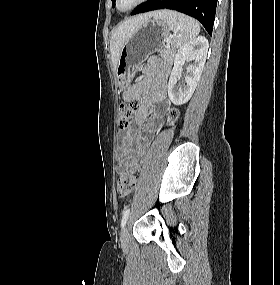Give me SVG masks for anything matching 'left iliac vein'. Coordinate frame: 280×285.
<instances>
[{"label": "left iliac vein", "mask_w": 280, "mask_h": 285, "mask_svg": "<svg viewBox=\"0 0 280 285\" xmlns=\"http://www.w3.org/2000/svg\"><path fill=\"white\" fill-rule=\"evenodd\" d=\"M129 240V232L127 227H123L121 232V243L122 245H126Z\"/></svg>", "instance_id": "1"}]
</instances>
